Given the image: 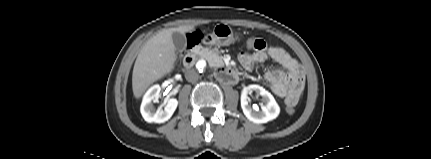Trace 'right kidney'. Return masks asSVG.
I'll return each mask as SVG.
<instances>
[{
    "label": "right kidney",
    "instance_id": "right-kidney-1",
    "mask_svg": "<svg viewBox=\"0 0 431 159\" xmlns=\"http://www.w3.org/2000/svg\"><path fill=\"white\" fill-rule=\"evenodd\" d=\"M161 87L159 85L152 86L144 95L141 104V114L144 120L148 123H164L171 118L177 108L178 101L175 98L167 99L164 102V109L158 108L155 110L153 103H156L160 97Z\"/></svg>",
    "mask_w": 431,
    "mask_h": 159
}]
</instances>
